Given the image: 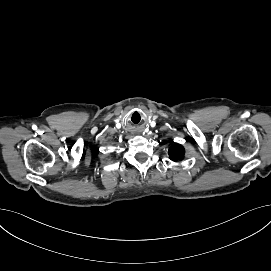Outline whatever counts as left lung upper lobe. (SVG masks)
Returning a JSON list of instances; mask_svg holds the SVG:
<instances>
[{
    "instance_id": "5c2ea615",
    "label": "left lung upper lobe",
    "mask_w": 271,
    "mask_h": 271,
    "mask_svg": "<svg viewBox=\"0 0 271 271\" xmlns=\"http://www.w3.org/2000/svg\"><path fill=\"white\" fill-rule=\"evenodd\" d=\"M169 158L176 162L182 160L185 155L184 147L180 144H173L168 150Z\"/></svg>"
}]
</instances>
